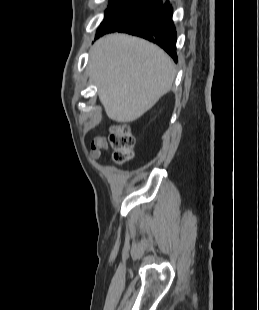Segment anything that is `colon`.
I'll return each mask as SVG.
<instances>
[{
    "mask_svg": "<svg viewBox=\"0 0 259 310\" xmlns=\"http://www.w3.org/2000/svg\"><path fill=\"white\" fill-rule=\"evenodd\" d=\"M110 142L114 147V161L125 164L132 160L135 140L126 127H116L112 130Z\"/></svg>",
    "mask_w": 259,
    "mask_h": 310,
    "instance_id": "1",
    "label": "colon"
}]
</instances>
